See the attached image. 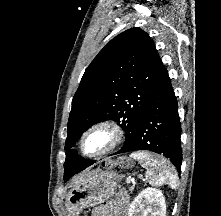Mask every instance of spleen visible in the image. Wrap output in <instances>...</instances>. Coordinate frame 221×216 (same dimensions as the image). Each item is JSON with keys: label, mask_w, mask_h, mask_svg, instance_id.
Here are the masks:
<instances>
[{"label": "spleen", "mask_w": 221, "mask_h": 216, "mask_svg": "<svg viewBox=\"0 0 221 216\" xmlns=\"http://www.w3.org/2000/svg\"><path fill=\"white\" fill-rule=\"evenodd\" d=\"M131 157L137 159L146 169L145 175L149 184L158 187L168 184L172 189L177 188L178 177L167 160L145 151L132 153Z\"/></svg>", "instance_id": "spleen-1"}]
</instances>
